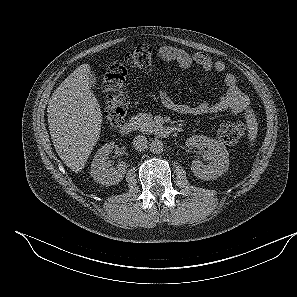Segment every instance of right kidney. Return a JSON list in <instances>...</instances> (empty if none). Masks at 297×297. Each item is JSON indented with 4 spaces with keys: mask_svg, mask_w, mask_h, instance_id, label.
<instances>
[{
    "mask_svg": "<svg viewBox=\"0 0 297 297\" xmlns=\"http://www.w3.org/2000/svg\"><path fill=\"white\" fill-rule=\"evenodd\" d=\"M114 149V142L104 144L95 154L91 164V176L102 185L110 186L118 184L124 177L127 164L120 161L117 167L111 165L108 161V155Z\"/></svg>",
    "mask_w": 297,
    "mask_h": 297,
    "instance_id": "right-kidney-1",
    "label": "right kidney"
}]
</instances>
